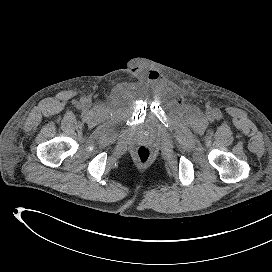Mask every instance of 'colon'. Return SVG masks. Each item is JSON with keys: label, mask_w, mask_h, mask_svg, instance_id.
Segmentation results:
<instances>
[{"label": "colon", "mask_w": 272, "mask_h": 272, "mask_svg": "<svg viewBox=\"0 0 272 272\" xmlns=\"http://www.w3.org/2000/svg\"><path fill=\"white\" fill-rule=\"evenodd\" d=\"M152 157L151 150L146 146H139L135 150V159L140 164H147Z\"/></svg>", "instance_id": "1"}]
</instances>
